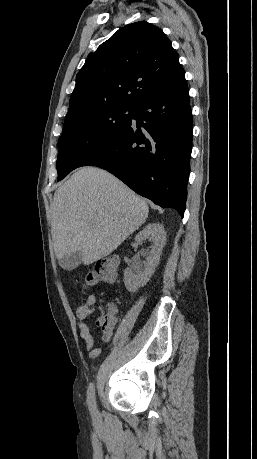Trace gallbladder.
Here are the masks:
<instances>
[{"instance_id":"bac80fb5","label":"gallbladder","mask_w":257,"mask_h":459,"mask_svg":"<svg viewBox=\"0 0 257 459\" xmlns=\"http://www.w3.org/2000/svg\"><path fill=\"white\" fill-rule=\"evenodd\" d=\"M82 257L80 251L67 254L59 260V264L65 269L72 270L81 263Z\"/></svg>"}]
</instances>
